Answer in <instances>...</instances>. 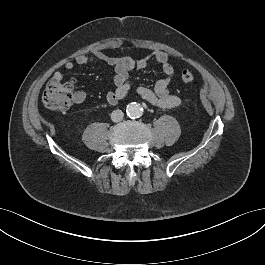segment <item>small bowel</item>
<instances>
[{"mask_svg":"<svg viewBox=\"0 0 265 265\" xmlns=\"http://www.w3.org/2000/svg\"><path fill=\"white\" fill-rule=\"evenodd\" d=\"M104 62L115 69L113 79L115 88L106 95V100L110 105L117 104L130 91L128 83L131 72L146 68L150 63L155 62L161 66L164 77L159 79L153 88L136 87L135 93L148 103L160 108H175L181 104L179 96L170 92V83L175 75V68L170 63L169 55L160 50L152 51L142 57L135 58L130 55L119 57L109 55L103 51L95 50L90 54H80L74 60H67L63 67L68 70H74L76 65H87L93 62ZM53 77L63 78L61 72L56 71ZM86 98L85 92L79 90L75 92L74 103L80 104Z\"/></svg>","mask_w":265,"mask_h":265,"instance_id":"small-bowel-1","label":"small bowel"}]
</instances>
